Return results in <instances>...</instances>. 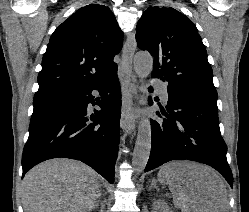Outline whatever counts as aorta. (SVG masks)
I'll list each match as a JSON object with an SVG mask.
<instances>
[{
    "mask_svg": "<svg viewBox=\"0 0 249 212\" xmlns=\"http://www.w3.org/2000/svg\"><path fill=\"white\" fill-rule=\"evenodd\" d=\"M134 70L140 78H146L153 69V58L147 52H138L134 56ZM151 149V124L148 118H142L133 151L132 164L136 172H142L148 162Z\"/></svg>",
    "mask_w": 249,
    "mask_h": 212,
    "instance_id": "1",
    "label": "aorta"
}]
</instances>
